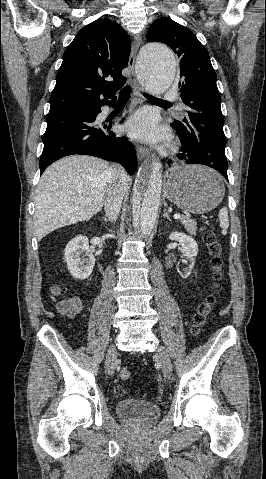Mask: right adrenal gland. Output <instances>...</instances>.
I'll return each instance as SVG.
<instances>
[{"label":"right adrenal gland","mask_w":266,"mask_h":479,"mask_svg":"<svg viewBox=\"0 0 266 479\" xmlns=\"http://www.w3.org/2000/svg\"><path fill=\"white\" fill-rule=\"evenodd\" d=\"M102 219H103L105 222H108V221H109L106 217H102Z\"/></svg>","instance_id":"right-adrenal-gland-1"}]
</instances>
